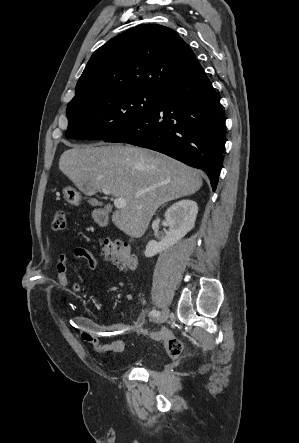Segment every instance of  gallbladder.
Wrapping results in <instances>:
<instances>
[{
  "mask_svg": "<svg viewBox=\"0 0 299 443\" xmlns=\"http://www.w3.org/2000/svg\"><path fill=\"white\" fill-rule=\"evenodd\" d=\"M89 203H90L91 205H93V206H96V205L98 204V201H97L96 199H91V200L89 201Z\"/></svg>",
  "mask_w": 299,
  "mask_h": 443,
  "instance_id": "gallbladder-1",
  "label": "gallbladder"
}]
</instances>
